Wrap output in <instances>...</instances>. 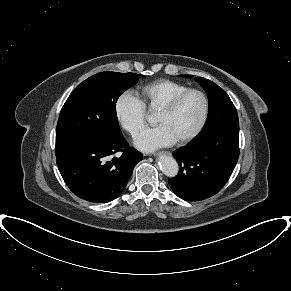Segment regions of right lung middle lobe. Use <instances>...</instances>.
<instances>
[{"label":"right lung middle lobe","instance_id":"right-lung-middle-lobe-1","mask_svg":"<svg viewBox=\"0 0 291 291\" xmlns=\"http://www.w3.org/2000/svg\"><path fill=\"white\" fill-rule=\"evenodd\" d=\"M142 75L101 72L82 83L62 107L56 128V158L76 146L106 142L122 135L116 102Z\"/></svg>","mask_w":291,"mask_h":291}]
</instances>
